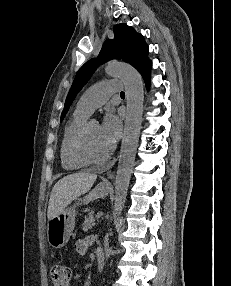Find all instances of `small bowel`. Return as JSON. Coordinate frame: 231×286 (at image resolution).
Here are the masks:
<instances>
[{"label": "small bowel", "mask_w": 231, "mask_h": 286, "mask_svg": "<svg viewBox=\"0 0 231 286\" xmlns=\"http://www.w3.org/2000/svg\"><path fill=\"white\" fill-rule=\"evenodd\" d=\"M92 242H93L92 237L80 239V240L76 241V243L74 244V251L78 255H84L87 252L89 246L92 244Z\"/></svg>", "instance_id": "1"}]
</instances>
